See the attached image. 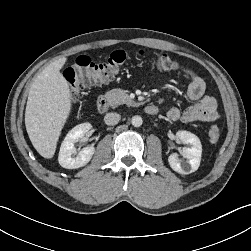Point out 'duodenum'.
Here are the masks:
<instances>
[{"label":"duodenum","mask_w":251,"mask_h":251,"mask_svg":"<svg viewBox=\"0 0 251 251\" xmlns=\"http://www.w3.org/2000/svg\"><path fill=\"white\" fill-rule=\"evenodd\" d=\"M97 108L101 112H106L110 108V100L105 95H100L97 99ZM145 113L149 115H156L159 111L156 105L148 104L144 107Z\"/></svg>","instance_id":"duodenum-1"}]
</instances>
